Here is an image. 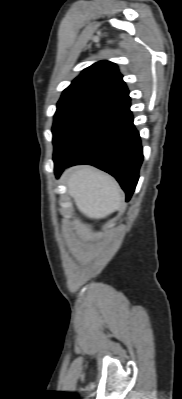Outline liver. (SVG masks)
<instances>
[{
	"label": "liver",
	"mask_w": 182,
	"mask_h": 399,
	"mask_svg": "<svg viewBox=\"0 0 182 399\" xmlns=\"http://www.w3.org/2000/svg\"><path fill=\"white\" fill-rule=\"evenodd\" d=\"M67 187L78 210L93 219L110 215L121 206L124 199L113 177L91 167H82L70 173Z\"/></svg>",
	"instance_id": "6515ba94"
}]
</instances>
